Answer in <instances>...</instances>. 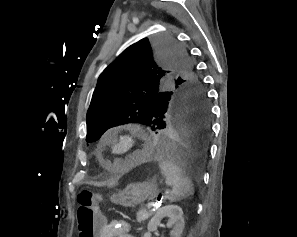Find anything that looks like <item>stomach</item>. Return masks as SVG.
<instances>
[{"instance_id": "0dacf381", "label": "stomach", "mask_w": 297, "mask_h": 237, "mask_svg": "<svg viewBox=\"0 0 297 237\" xmlns=\"http://www.w3.org/2000/svg\"><path fill=\"white\" fill-rule=\"evenodd\" d=\"M157 193V184L154 181L131 183L127 187L111 197V201L124 207H132L143 204L152 199Z\"/></svg>"}]
</instances>
